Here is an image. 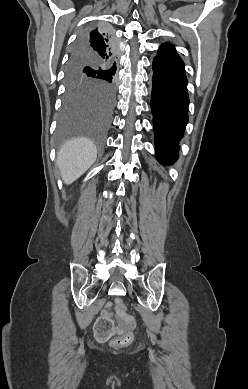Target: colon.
<instances>
[{"instance_id": "colon-1", "label": "colon", "mask_w": 248, "mask_h": 389, "mask_svg": "<svg viewBox=\"0 0 248 389\" xmlns=\"http://www.w3.org/2000/svg\"><path fill=\"white\" fill-rule=\"evenodd\" d=\"M116 308L121 316H124L126 313V305L122 298L116 299ZM122 327V326H121ZM117 328L114 320L110 317H103L98 322L95 323L96 334L100 339L102 344H107L109 339L106 337L111 331ZM133 339L132 334L129 331H123L121 335L111 341V346L113 348H120L128 343H130Z\"/></svg>"}]
</instances>
